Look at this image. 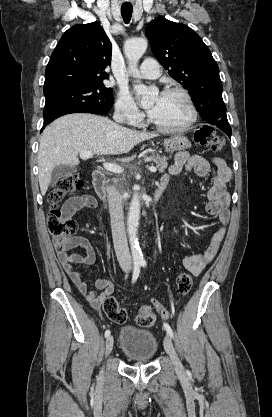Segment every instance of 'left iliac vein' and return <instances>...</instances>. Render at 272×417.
<instances>
[{
  "mask_svg": "<svg viewBox=\"0 0 272 417\" xmlns=\"http://www.w3.org/2000/svg\"><path fill=\"white\" fill-rule=\"evenodd\" d=\"M164 348H165V351L167 352V354L170 356L176 371L181 372L183 370V366H182V364H181V362H180V360H179V358H178V356L175 352V349L173 347V343H172L169 335H166L165 338H164Z\"/></svg>",
  "mask_w": 272,
  "mask_h": 417,
  "instance_id": "4c4485c4",
  "label": "left iliac vein"
}]
</instances>
